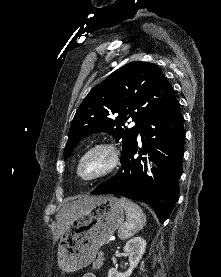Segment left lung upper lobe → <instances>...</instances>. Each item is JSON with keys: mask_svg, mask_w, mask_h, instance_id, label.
I'll return each instance as SVG.
<instances>
[{"mask_svg": "<svg viewBox=\"0 0 221 277\" xmlns=\"http://www.w3.org/2000/svg\"><path fill=\"white\" fill-rule=\"evenodd\" d=\"M174 96L157 65L141 61L124 65L95 86L80 104L69 129L64 158L87 135L106 132L122 140V161L138 133ZM129 118L136 124L124 130L122 126Z\"/></svg>", "mask_w": 221, "mask_h": 277, "instance_id": "obj_1", "label": "left lung upper lobe"}]
</instances>
